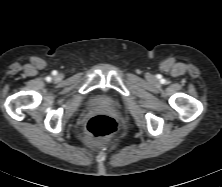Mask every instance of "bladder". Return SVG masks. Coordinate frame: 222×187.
I'll use <instances>...</instances> for the list:
<instances>
[{"label":"bladder","instance_id":"bladder-1","mask_svg":"<svg viewBox=\"0 0 222 187\" xmlns=\"http://www.w3.org/2000/svg\"><path fill=\"white\" fill-rule=\"evenodd\" d=\"M91 102L93 104H103V105H112L114 104V101L109 99L108 97L104 95H96L95 97L92 98Z\"/></svg>","mask_w":222,"mask_h":187}]
</instances>
